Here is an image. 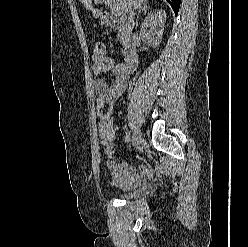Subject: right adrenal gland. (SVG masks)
I'll return each instance as SVG.
<instances>
[{
    "mask_svg": "<svg viewBox=\"0 0 248 247\" xmlns=\"http://www.w3.org/2000/svg\"><path fill=\"white\" fill-rule=\"evenodd\" d=\"M149 9H150V7L148 6V3H147V2H144V3L138 8L137 21H138V18H139V14H140V13L146 14L147 11H148Z\"/></svg>",
    "mask_w": 248,
    "mask_h": 247,
    "instance_id": "1",
    "label": "right adrenal gland"
}]
</instances>
